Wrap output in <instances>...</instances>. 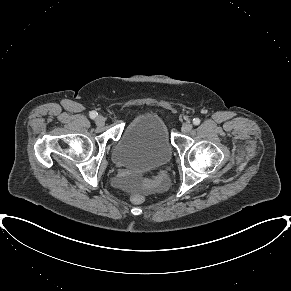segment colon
Segmentation results:
<instances>
[{
  "label": "colon",
  "instance_id": "obj_1",
  "mask_svg": "<svg viewBox=\"0 0 291 291\" xmlns=\"http://www.w3.org/2000/svg\"><path fill=\"white\" fill-rule=\"evenodd\" d=\"M154 183H156V180H146L144 184H145V186H149V185H152ZM143 201H144V197L141 194H134L131 197V202L133 204L138 205V204H141Z\"/></svg>",
  "mask_w": 291,
  "mask_h": 291
}]
</instances>
